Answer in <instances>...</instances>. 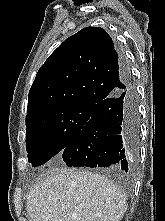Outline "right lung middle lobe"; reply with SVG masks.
I'll list each match as a JSON object with an SVG mask.
<instances>
[{"label":"right lung middle lobe","instance_id":"obj_1","mask_svg":"<svg viewBox=\"0 0 165 221\" xmlns=\"http://www.w3.org/2000/svg\"><path fill=\"white\" fill-rule=\"evenodd\" d=\"M89 105L46 109L26 118V149L33 167L61 153L93 114Z\"/></svg>","mask_w":165,"mask_h":221}]
</instances>
